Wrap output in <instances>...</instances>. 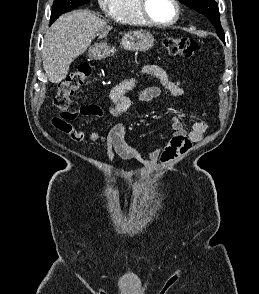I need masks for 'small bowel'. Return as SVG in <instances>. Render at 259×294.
<instances>
[{"mask_svg":"<svg viewBox=\"0 0 259 294\" xmlns=\"http://www.w3.org/2000/svg\"><path fill=\"white\" fill-rule=\"evenodd\" d=\"M147 72L152 73L160 80L166 90L173 96H182L185 91L181 84L177 81H172L168 78L165 72L159 69H148ZM132 82H127L121 86L116 87L111 95V105L109 107V114L113 117H119L130 106V99L125 96V93L132 88ZM161 89L156 86L148 87L138 93V98L142 102H148L159 98ZM79 115L91 116L95 118H103L104 110L97 103L91 102L85 104L77 109L73 117H64L62 115L56 116L51 120L54 128L61 131L65 137L74 142H83L86 139L85 133L75 128L70 120L75 119ZM201 120L192 125L188 132L178 117L171 119V129L173 136L171 140L163 146L156 147L143 154L139 149L129 145L125 141V125L123 123L114 124L105 134L101 135L99 132H92L88 139L90 142L100 141L106 148L108 160L112 161L117 155L125 160H137L142 164H153L158 159L162 162H168L180 154L188 151L194 142L202 140L210 130V123L207 112L202 109L200 111Z\"/></svg>","mask_w":259,"mask_h":294,"instance_id":"c3829d8e","label":"small bowel"}]
</instances>
